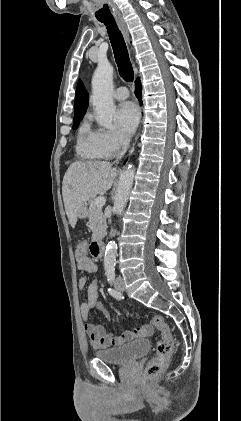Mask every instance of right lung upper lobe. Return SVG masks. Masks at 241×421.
Instances as JSON below:
<instances>
[{
  "label": "right lung upper lobe",
  "instance_id": "1",
  "mask_svg": "<svg viewBox=\"0 0 241 421\" xmlns=\"http://www.w3.org/2000/svg\"><path fill=\"white\" fill-rule=\"evenodd\" d=\"M87 107L88 94L83 83L79 80L75 95L74 118L83 117Z\"/></svg>",
  "mask_w": 241,
  "mask_h": 421
}]
</instances>
